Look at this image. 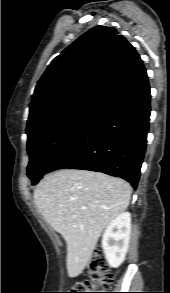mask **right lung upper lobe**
Masks as SVG:
<instances>
[{"label": "right lung upper lobe", "instance_id": "cb5924a9", "mask_svg": "<svg viewBox=\"0 0 170 293\" xmlns=\"http://www.w3.org/2000/svg\"><path fill=\"white\" fill-rule=\"evenodd\" d=\"M146 77L135 48L116 29L95 26L57 56L38 81L27 129L75 105H102Z\"/></svg>", "mask_w": 170, "mask_h": 293}]
</instances>
